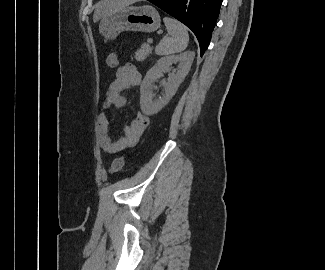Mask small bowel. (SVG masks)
<instances>
[{"instance_id":"c3829d8e","label":"small bowel","mask_w":325,"mask_h":270,"mask_svg":"<svg viewBox=\"0 0 325 270\" xmlns=\"http://www.w3.org/2000/svg\"><path fill=\"white\" fill-rule=\"evenodd\" d=\"M140 82L141 75L134 65L126 64L118 67L116 78L107 90L106 99L102 105V112L97 121L99 143L105 153L112 154L134 146L149 125V118L145 114L138 112L134 119L124 126L123 135L118 140L113 141L109 135V121L105 110L110 107H124L127 101L123 96V91L139 85Z\"/></svg>"}]
</instances>
